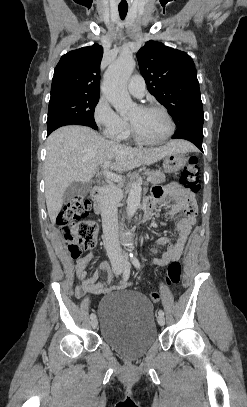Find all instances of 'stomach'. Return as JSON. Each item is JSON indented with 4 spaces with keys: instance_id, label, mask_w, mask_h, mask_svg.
<instances>
[{
    "instance_id": "0dacf381",
    "label": "stomach",
    "mask_w": 247,
    "mask_h": 407,
    "mask_svg": "<svg viewBox=\"0 0 247 407\" xmlns=\"http://www.w3.org/2000/svg\"><path fill=\"white\" fill-rule=\"evenodd\" d=\"M187 163V158L181 152L172 153L164 157L163 169L166 173H175Z\"/></svg>"
}]
</instances>
